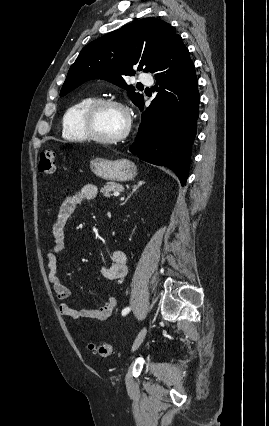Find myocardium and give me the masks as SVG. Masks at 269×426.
Here are the masks:
<instances>
[{
  "mask_svg": "<svg viewBox=\"0 0 269 426\" xmlns=\"http://www.w3.org/2000/svg\"><path fill=\"white\" fill-rule=\"evenodd\" d=\"M104 106H113V107L119 108L120 110L123 111L125 118H126L125 128L123 129V131L119 135H117L113 138H104V137L99 136L95 132L94 127H93V120H94L96 112ZM82 126H83V129H84L88 139H91V140L98 142V143H101V144L112 145V144H117V143L125 140L128 137V135L131 131V127H132V120H131V116L129 114V111L121 102L114 100V99H109V98H99V99H95L93 102H91L87 106L85 111L83 112Z\"/></svg>",
  "mask_w": 269,
  "mask_h": 426,
  "instance_id": "myocardium-1",
  "label": "myocardium"
}]
</instances>
